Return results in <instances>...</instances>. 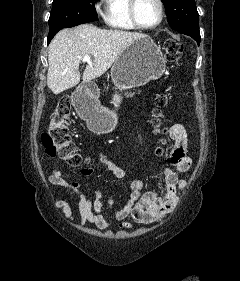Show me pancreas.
<instances>
[{
  "instance_id": "pancreas-1",
  "label": "pancreas",
  "mask_w": 240,
  "mask_h": 281,
  "mask_svg": "<svg viewBox=\"0 0 240 281\" xmlns=\"http://www.w3.org/2000/svg\"><path fill=\"white\" fill-rule=\"evenodd\" d=\"M125 95L132 97L134 95V93H125Z\"/></svg>"
}]
</instances>
